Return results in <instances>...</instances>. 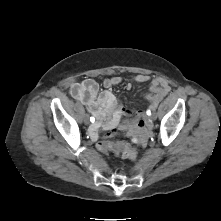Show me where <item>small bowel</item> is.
<instances>
[{"label":"small bowel","mask_w":221,"mask_h":221,"mask_svg":"<svg viewBox=\"0 0 221 221\" xmlns=\"http://www.w3.org/2000/svg\"><path fill=\"white\" fill-rule=\"evenodd\" d=\"M150 77L144 74H137L133 77L135 83H145ZM121 77L113 76L103 82L104 90L99 92V86L93 79H86L82 82H75L70 87V95L77 101L84 104L87 110L95 117L96 122L91 126L89 133L93 140L99 138L103 131L107 136H113L121 120L132 114V111L125 108L110 91V88L120 84ZM170 91L168 81L161 77L153 78L150 81L149 93L146 98L152 103H157ZM143 113L137 112L133 121H142ZM128 125L123 126L127 130Z\"/></svg>","instance_id":"obj_1"}]
</instances>
